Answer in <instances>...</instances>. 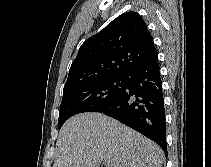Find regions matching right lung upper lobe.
Returning <instances> with one entry per match:
<instances>
[{"instance_id": "obj_1", "label": "right lung upper lobe", "mask_w": 211, "mask_h": 167, "mask_svg": "<svg viewBox=\"0 0 211 167\" xmlns=\"http://www.w3.org/2000/svg\"><path fill=\"white\" fill-rule=\"evenodd\" d=\"M155 57L153 38L142 17L123 13L81 45L64 89L95 78L125 76Z\"/></svg>"}]
</instances>
